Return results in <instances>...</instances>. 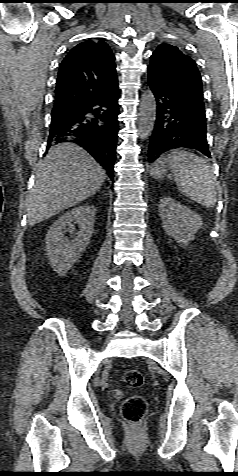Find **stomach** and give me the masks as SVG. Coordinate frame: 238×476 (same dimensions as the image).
<instances>
[{"instance_id": "stomach-1", "label": "stomach", "mask_w": 238, "mask_h": 476, "mask_svg": "<svg viewBox=\"0 0 238 476\" xmlns=\"http://www.w3.org/2000/svg\"><path fill=\"white\" fill-rule=\"evenodd\" d=\"M168 166L169 162L167 157L162 156L150 167V175L153 178H163L167 172Z\"/></svg>"}]
</instances>
